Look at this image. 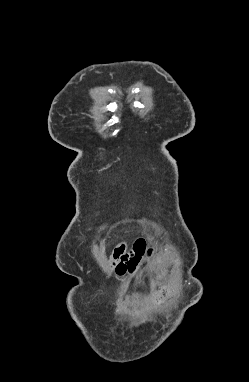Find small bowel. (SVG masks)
Returning <instances> with one entry per match:
<instances>
[{"instance_id": "small-bowel-1", "label": "small bowel", "mask_w": 249, "mask_h": 382, "mask_svg": "<svg viewBox=\"0 0 249 382\" xmlns=\"http://www.w3.org/2000/svg\"><path fill=\"white\" fill-rule=\"evenodd\" d=\"M146 245L145 240L142 238L132 241L129 251L126 243L118 244L109 259V265L120 276L132 272L136 266L140 265Z\"/></svg>"}]
</instances>
